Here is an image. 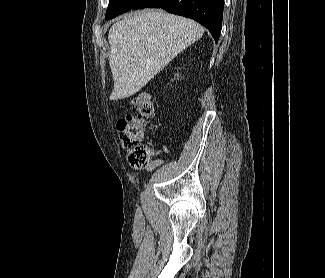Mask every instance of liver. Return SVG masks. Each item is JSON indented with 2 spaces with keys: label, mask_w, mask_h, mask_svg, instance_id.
I'll list each match as a JSON object with an SVG mask.
<instances>
[{
  "label": "liver",
  "mask_w": 325,
  "mask_h": 278,
  "mask_svg": "<svg viewBox=\"0 0 325 278\" xmlns=\"http://www.w3.org/2000/svg\"><path fill=\"white\" fill-rule=\"evenodd\" d=\"M203 33L204 28L197 22L163 10L125 15L108 33L109 65L114 81L110 100L139 92Z\"/></svg>",
  "instance_id": "1"
}]
</instances>
